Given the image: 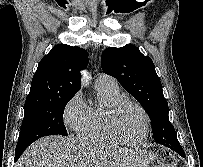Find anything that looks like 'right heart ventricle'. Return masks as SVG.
<instances>
[{"instance_id":"e07e8e85","label":"right heart ventricle","mask_w":203,"mask_h":167,"mask_svg":"<svg viewBox=\"0 0 203 167\" xmlns=\"http://www.w3.org/2000/svg\"><path fill=\"white\" fill-rule=\"evenodd\" d=\"M97 92L98 102L85 109L78 136L88 142L117 144L105 128V119L114 102L124 95L117 84L99 86Z\"/></svg>"}]
</instances>
